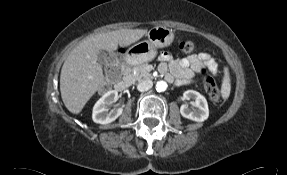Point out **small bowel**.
Returning <instances> with one entry per match:
<instances>
[{
  "mask_svg": "<svg viewBox=\"0 0 287 175\" xmlns=\"http://www.w3.org/2000/svg\"><path fill=\"white\" fill-rule=\"evenodd\" d=\"M161 61L159 71L165 74L167 81L176 80L179 85L187 84L194 74L200 72L202 67H208L212 73H216L218 65L215 59L206 52L190 55L186 58H174L170 52L163 51L159 55Z\"/></svg>",
  "mask_w": 287,
  "mask_h": 175,
  "instance_id": "c3829d8e",
  "label": "small bowel"
}]
</instances>
